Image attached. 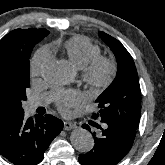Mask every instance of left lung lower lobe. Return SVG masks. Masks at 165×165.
Masks as SVG:
<instances>
[{"label": "left lung lower lobe", "instance_id": "left-lung-lower-lobe-1", "mask_svg": "<svg viewBox=\"0 0 165 165\" xmlns=\"http://www.w3.org/2000/svg\"><path fill=\"white\" fill-rule=\"evenodd\" d=\"M93 125V122H89ZM101 131L98 135L95 132L94 147L86 154L79 156V162L82 165H116L121 161L131 149L135 133L133 131L119 127L112 123H104L101 126L94 123ZM84 128L90 130L86 124Z\"/></svg>", "mask_w": 165, "mask_h": 165}]
</instances>
